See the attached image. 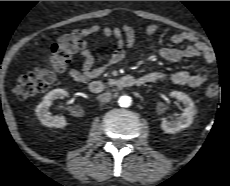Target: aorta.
<instances>
[{
  "instance_id": "aorta-1",
  "label": "aorta",
  "mask_w": 230,
  "mask_h": 186,
  "mask_svg": "<svg viewBox=\"0 0 230 186\" xmlns=\"http://www.w3.org/2000/svg\"><path fill=\"white\" fill-rule=\"evenodd\" d=\"M118 103L121 107H129L132 104V99L130 96L123 95L119 97Z\"/></svg>"
}]
</instances>
